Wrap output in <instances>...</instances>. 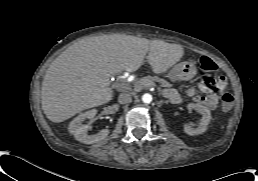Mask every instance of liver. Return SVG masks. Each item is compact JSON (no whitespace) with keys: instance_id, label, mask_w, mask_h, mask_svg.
<instances>
[{"instance_id":"1","label":"liver","mask_w":258,"mask_h":181,"mask_svg":"<svg viewBox=\"0 0 258 181\" xmlns=\"http://www.w3.org/2000/svg\"><path fill=\"white\" fill-rule=\"evenodd\" d=\"M183 56V48L162 40L125 34L81 39L48 67L42 82V108L52 122H63L85 109L108 103L112 74L135 71L147 59L153 73L168 71Z\"/></svg>"}]
</instances>
